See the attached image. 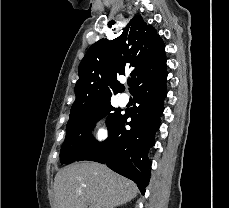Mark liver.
<instances>
[{
	"mask_svg": "<svg viewBox=\"0 0 229 208\" xmlns=\"http://www.w3.org/2000/svg\"><path fill=\"white\" fill-rule=\"evenodd\" d=\"M58 208H115L136 198L138 188L97 162H76L55 176Z\"/></svg>",
	"mask_w": 229,
	"mask_h": 208,
	"instance_id": "obj_1",
	"label": "liver"
}]
</instances>
